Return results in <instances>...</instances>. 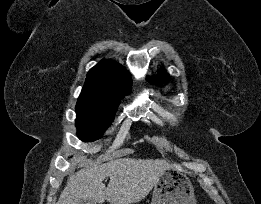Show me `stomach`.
Returning a JSON list of instances; mask_svg holds the SVG:
<instances>
[{
  "label": "stomach",
  "mask_w": 261,
  "mask_h": 204,
  "mask_svg": "<svg viewBox=\"0 0 261 204\" xmlns=\"http://www.w3.org/2000/svg\"><path fill=\"white\" fill-rule=\"evenodd\" d=\"M151 204H196L190 179L174 168L164 170L154 186Z\"/></svg>",
  "instance_id": "0dacf381"
}]
</instances>
